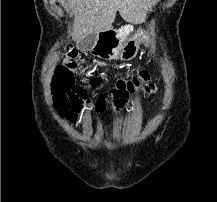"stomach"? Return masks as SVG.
I'll return each mask as SVG.
<instances>
[{
	"instance_id": "stomach-1",
	"label": "stomach",
	"mask_w": 217,
	"mask_h": 202,
	"mask_svg": "<svg viewBox=\"0 0 217 202\" xmlns=\"http://www.w3.org/2000/svg\"><path fill=\"white\" fill-rule=\"evenodd\" d=\"M140 44H144L147 48L151 44L148 32L141 30V28L136 30L132 36L123 40L119 48L118 58L120 60H132L137 56Z\"/></svg>"
}]
</instances>
